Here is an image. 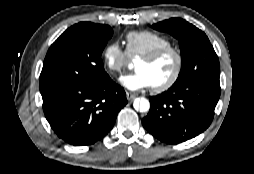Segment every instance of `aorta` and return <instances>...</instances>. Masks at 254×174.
Listing matches in <instances>:
<instances>
[{
    "label": "aorta",
    "instance_id": "1",
    "mask_svg": "<svg viewBox=\"0 0 254 174\" xmlns=\"http://www.w3.org/2000/svg\"><path fill=\"white\" fill-rule=\"evenodd\" d=\"M134 107L140 112H147L150 108V103L146 98H140L134 101Z\"/></svg>",
    "mask_w": 254,
    "mask_h": 174
}]
</instances>
